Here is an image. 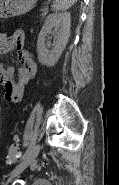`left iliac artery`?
<instances>
[{
    "label": "left iliac artery",
    "mask_w": 119,
    "mask_h": 185,
    "mask_svg": "<svg viewBox=\"0 0 119 185\" xmlns=\"http://www.w3.org/2000/svg\"><path fill=\"white\" fill-rule=\"evenodd\" d=\"M32 148H33V145H30V146L28 147V149L25 151V153H24V155L22 156V158H24L26 155H28V154L31 152Z\"/></svg>",
    "instance_id": "1"
}]
</instances>
